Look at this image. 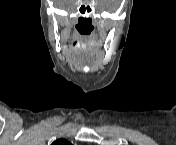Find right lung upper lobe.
I'll list each match as a JSON object with an SVG mask.
<instances>
[{
    "label": "right lung upper lobe",
    "instance_id": "obj_1",
    "mask_svg": "<svg viewBox=\"0 0 176 145\" xmlns=\"http://www.w3.org/2000/svg\"><path fill=\"white\" fill-rule=\"evenodd\" d=\"M70 143L65 139H58L52 143V145H69Z\"/></svg>",
    "mask_w": 176,
    "mask_h": 145
}]
</instances>
